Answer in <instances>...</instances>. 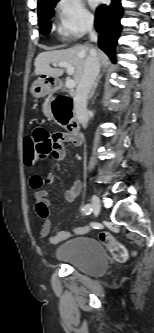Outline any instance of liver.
Instances as JSON below:
<instances>
[{
	"mask_svg": "<svg viewBox=\"0 0 154 333\" xmlns=\"http://www.w3.org/2000/svg\"><path fill=\"white\" fill-rule=\"evenodd\" d=\"M91 47L88 45H75L68 49L54 50L40 53L34 62L35 75H46L48 77H59L64 73L62 68H52L50 64L67 62L74 67L73 78L78 83L84 73L85 61ZM99 62L102 65L109 63L108 57L101 51L95 50Z\"/></svg>",
	"mask_w": 154,
	"mask_h": 333,
	"instance_id": "obj_1",
	"label": "liver"
}]
</instances>
